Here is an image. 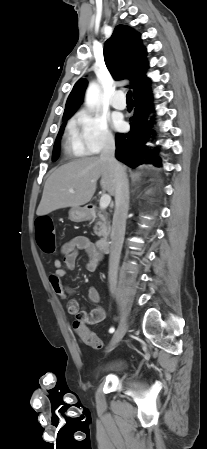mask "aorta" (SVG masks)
Listing matches in <instances>:
<instances>
[{
	"mask_svg": "<svg viewBox=\"0 0 207 449\" xmlns=\"http://www.w3.org/2000/svg\"><path fill=\"white\" fill-rule=\"evenodd\" d=\"M100 98V89L97 83L89 84L86 95H85V103L88 108H94L98 105Z\"/></svg>",
	"mask_w": 207,
	"mask_h": 449,
	"instance_id": "aorta-1",
	"label": "aorta"
}]
</instances>
